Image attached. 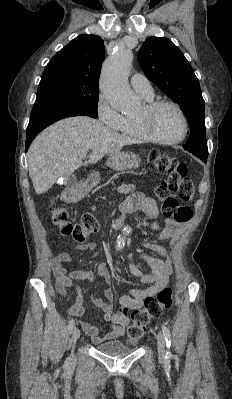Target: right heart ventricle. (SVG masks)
Listing matches in <instances>:
<instances>
[{"mask_svg":"<svg viewBox=\"0 0 232 399\" xmlns=\"http://www.w3.org/2000/svg\"><path fill=\"white\" fill-rule=\"evenodd\" d=\"M144 99L146 102L153 101V97H144ZM116 130L123 138L133 142H149V140L141 133L135 118L125 117L122 124Z\"/></svg>","mask_w":232,"mask_h":399,"instance_id":"right-heart-ventricle-1","label":"right heart ventricle"}]
</instances>
